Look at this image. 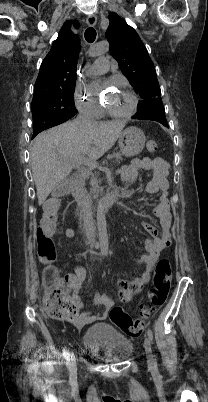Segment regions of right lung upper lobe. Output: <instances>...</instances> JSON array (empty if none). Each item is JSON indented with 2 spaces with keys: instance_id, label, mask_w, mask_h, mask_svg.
I'll return each mask as SVG.
<instances>
[{
  "instance_id": "right-lung-upper-lobe-1",
  "label": "right lung upper lobe",
  "mask_w": 208,
  "mask_h": 402,
  "mask_svg": "<svg viewBox=\"0 0 208 402\" xmlns=\"http://www.w3.org/2000/svg\"><path fill=\"white\" fill-rule=\"evenodd\" d=\"M73 23L75 27H78L76 21ZM70 25L69 21L63 25L50 52L44 58L34 93L63 83L76 82L80 42L78 36L70 30Z\"/></svg>"
}]
</instances>
